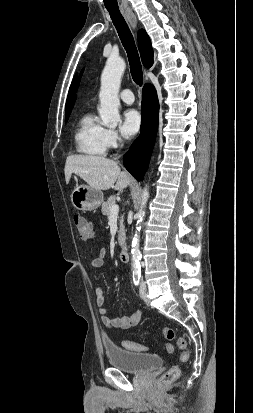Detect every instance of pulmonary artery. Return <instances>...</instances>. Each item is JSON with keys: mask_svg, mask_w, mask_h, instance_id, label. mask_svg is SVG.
<instances>
[{"mask_svg": "<svg viewBox=\"0 0 253 413\" xmlns=\"http://www.w3.org/2000/svg\"><path fill=\"white\" fill-rule=\"evenodd\" d=\"M120 98L123 102L127 104H132L134 102V95L130 89H124L120 93Z\"/></svg>", "mask_w": 253, "mask_h": 413, "instance_id": "1", "label": "pulmonary artery"}]
</instances>
